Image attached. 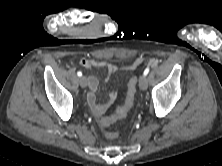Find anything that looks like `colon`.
<instances>
[{
	"instance_id": "colon-1",
	"label": "colon",
	"mask_w": 222,
	"mask_h": 166,
	"mask_svg": "<svg viewBox=\"0 0 222 166\" xmlns=\"http://www.w3.org/2000/svg\"><path fill=\"white\" fill-rule=\"evenodd\" d=\"M136 88H137V78L133 76L128 81L127 95H126L124 103L121 106H119L112 115L101 119L100 126L102 127V129H104L105 134L109 139H114L117 136V133L114 131L108 130V128L113 123L127 116V114L129 113V111L131 110L134 104Z\"/></svg>"
}]
</instances>
